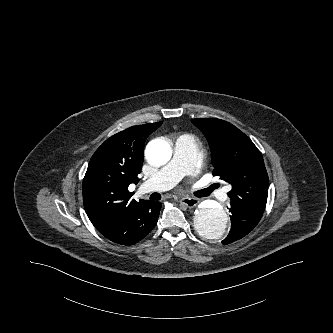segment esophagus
Segmentation results:
<instances>
[{
    "label": "esophagus",
    "mask_w": 333,
    "mask_h": 333,
    "mask_svg": "<svg viewBox=\"0 0 333 333\" xmlns=\"http://www.w3.org/2000/svg\"><path fill=\"white\" fill-rule=\"evenodd\" d=\"M180 203L188 208H193L196 205H198L199 200L196 198H190V197H181L179 199Z\"/></svg>",
    "instance_id": "obj_1"
}]
</instances>
